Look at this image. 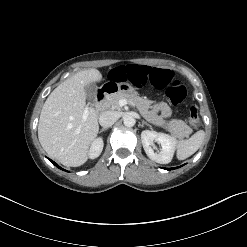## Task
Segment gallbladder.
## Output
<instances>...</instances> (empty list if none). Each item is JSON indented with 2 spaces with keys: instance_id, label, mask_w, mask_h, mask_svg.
<instances>
[{
  "instance_id": "1",
  "label": "gallbladder",
  "mask_w": 247,
  "mask_h": 247,
  "mask_svg": "<svg viewBox=\"0 0 247 247\" xmlns=\"http://www.w3.org/2000/svg\"><path fill=\"white\" fill-rule=\"evenodd\" d=\"M96 85L94 83L90 84L87 88H86V91H87V100L88 101H91L92 100V96L95 94L96 92Z\"/></svg>"
}]
</instances>
